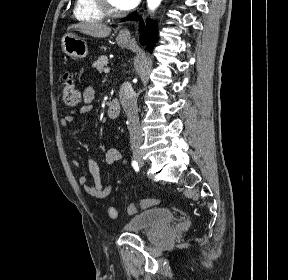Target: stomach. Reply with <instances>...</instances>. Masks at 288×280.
<instances>
[{"label":"stomach","mask_w":288,"mask_h":280,"mask_svg":"<svg viewBox=\"0 0 288 280\" xmlns=\"http://www.w3.org/2000/svg\"><path fill=\"white\" fill-rule=\"evenodd\" d=\"M116 40L118 45L121 47H127L130 43L129 39L123 38L120 35ZM62 48L64 53L74 60L82 59L88 54V46L86 41L73 33H67L63 36Z\"/></svg>","instance_id":"1"}]
</instances>
